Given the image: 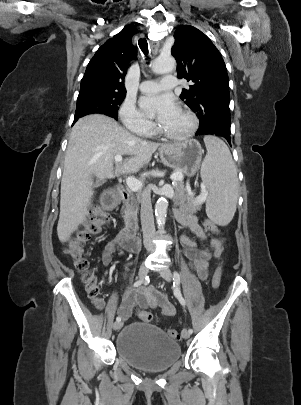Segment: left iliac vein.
I'll use <instances>...</instances> for the list:
<instances>
[{"label": "left iliac vein", "mask_w": 301, "mask_h": 405, "mask_svg": "<svg viewBox=\"0 0 301 405\" xmlns=\"http://www.w3.org/2000/svg\"><path fill=\"white\" fill-rule=\"evenodd\" d=\"M160 274L166 281H172V273L169 268L162 269ZM181 335L184 339H188L190 337V333L187 329H183Z\"/></svg>", "instance_id": "left-iliac-vein-1"}]
</instances>
